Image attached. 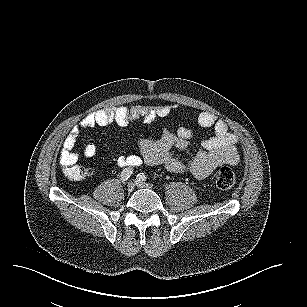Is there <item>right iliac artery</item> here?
<instances>
[{"mask_svg": "<svg viewBox=\"0 0 307 307\" xmlns=\"http://www.w3.org/2000/svg\"><path fill=\"white\" fill-rule=\"evenodd\" d=\"M133 170L131 168H125L122 172H121V182L125 183V181L128 180V178L132 175Z\"/></svg>", "mask_w": 307, "mask_h": 307, "instance_id": "1", "label": "right iliac artery"}]
</instances>
